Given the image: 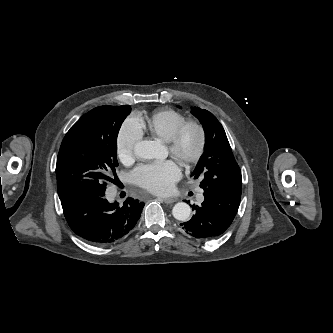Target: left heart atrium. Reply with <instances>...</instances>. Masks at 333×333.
Listing matches in <instances>:
<instances>
[{
	"instance_id": "1",
	"label": "left heart atrium",
	"mask_w": 333,
	"mask_h": 333,
	"mask_svg": "<svg viewBox=\"0 0 333 333\" xmlns=\"http://www.w3.org/2000/svg\"><path fill=\"white\" fill-rule=\"evenodd\" d=\"M180 176L181 169L173 160L142 164L131 174L135 184L157 194L171 191Z\"/></svg>"
}]
</instances>
